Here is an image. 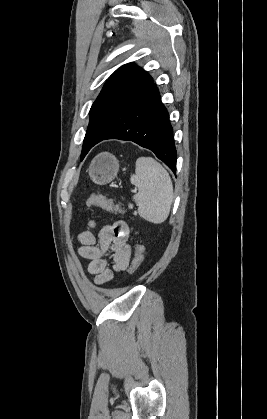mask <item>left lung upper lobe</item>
<instances>
[{
	"label": "left lung upper lobe",
	"mask_w": 267,
	"mask_h": 419,
	"mask_svg": "<svg viewBox=\"0 0 267 419\" xmlns=\"http://www.w3.org/2000/svg\"><path fill=\"white\" fill-rule=\"evenodd\" d=\"M152 81L147 72L133 63L121 66L111 75L90 109L81 159L92 142L111 131L112 114L131 105L137 94Z\"/></svg>",
	"instance_id": "1"
}]
</instances>
